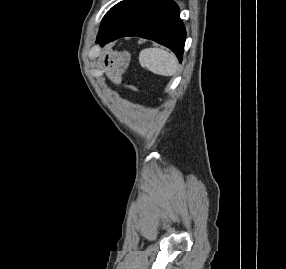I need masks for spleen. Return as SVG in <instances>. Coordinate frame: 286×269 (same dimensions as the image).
<instances>
[{"instance_id": "3e777b00", "label": "spleen", "mask_w": 286, "mask_h": 269, "mask_svg": "<svg viewBox=\"0 0 286 269\" xmlns=\"http://www.w3.org/2000/svg\"><path fill=\"white\" fill-rule=\"evenodd\" d=\"M139 62L142 67L164 76H172L178 69L175 55L160 48L142 50L139 54Z\"/></svg>"}]
</instances>
